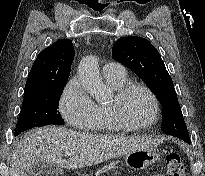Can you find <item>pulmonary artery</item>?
<instances>
[{"mask_svg":"<svg viewBox=\"0 0 205 176\" xmlns=\"http://www.w3.org/2000/svg\"><path fill=\"white\" fill-rule=\"evenodd\" d=\"M103 75L105 78H123L126 76L124 66L118 62H109L103 66Z\"/></svg>","mask_w":205,"mask_h":176,"instance_id":"pulmonary-artery-1","label":"pulmonary artery"}]
</instances>
